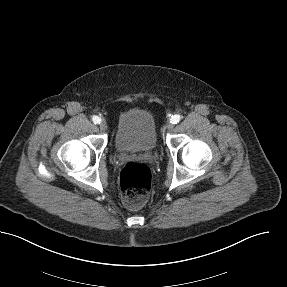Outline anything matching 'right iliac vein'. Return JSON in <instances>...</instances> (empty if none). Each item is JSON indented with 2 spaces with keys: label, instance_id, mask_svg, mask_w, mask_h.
I'll list each match as a JSON object with an SVG mask.
<instances>
[{
  "label": "right iliac vein",
  "instance_id": "right-iliac-vein-1",
  "mask_svg": "<svg viewBox=\"0 0 287 287\" xmlns=\"http://www.w3.org/2000/svg\"><path fill=\"white\" fill-rule=\"evenodd\" d=\"M100 129H101V130H106V129H107V124H106V122H104V121L100 122Z\"/></svg>",
  "mask_w": 287,
  "mask_h": 287
}]
</instances>
